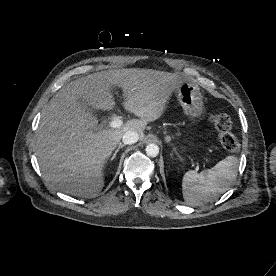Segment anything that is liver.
I'll return each instance as SVG.
<instances>
[{"mask_svg": "<svg viewBox=\"0 0 276 276\" xmlns=\"http://www.w3.org/2000/svg\"><path fill=\"white\" fill-rule=\"evenodd\" d=\"M184 81L169 72L129 68L90 74L63 86L44 108L36 134L35 154L44 179L64 193L96 197L104 186L105 163L123 134L136 131L143 139L148 122L164 113ZM116 86L123 91L124 108L140 119L96 131L98 119L79 100L112 110Z\"/></svg>", "mask_w": 276, "mask_h": 276, "instance_id": "1", "label": "liver"}]
</instances>
